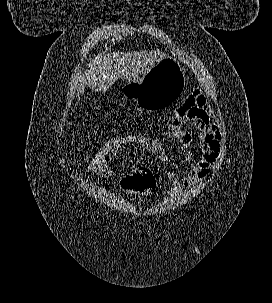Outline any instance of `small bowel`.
<instances>
[{
  "label": "small bowel",
  "instance_id": "small-bowel-1",
  "mask_svg": "<svg viewBox=\"0 0 272 303\" xmlns=\"http://www.w3.org/2000/svg\"><path fill=\"white\" fill-rule=\"evenodd\" d=\"M167 135L181 143L183 157L191 164L189 169L168 172L171 183L169 195L175 196L182 188H191L195 183L210 175L213 165L221 155L223 135L214 111L199 90L191 92L174 110L167 125ZM123 140L129 146L152 152L163 163L168 160V152L160 138L130 134L125 135ZM194 141L198 142L199 157H195L190 150ZM137 172L138 170H134L119 177L122 189L127 192L134 191ZM113 175L114 171L111 168L99 176L110 178Z\"/></svg>",
  "mask_w": 272,
  "mask_h": 303
}]
</instances>
